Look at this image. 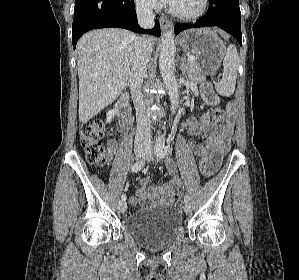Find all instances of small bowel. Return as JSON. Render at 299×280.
Instances as JSON below:
<instances>
[{
	"instance_id": "1",
	"label": "small bowel",
	"mask_w": 299,
	"mask_h": 280,
	"mask_svg": "<svg viewBox=\"0 0 299 280\" xmlns=\"http://www.w3.org/2000/svg\"><path fill=\"white\" fill-rule=\"evenodd\" d=\"M183 128L188 135L193 137L206 135L203 142L192 143L191 150L200 159L208 161L207 174L215 172L222 158L230 149L234 128L233 121L228 120L218 131V127L210 120L203 119L198 121L190 118L184 123ZM116 146V140H109L107 142L108 157L113 155ZM167 168L170 173V179L164 184L150 187L149 177H144L140 180V188L137 191V195L129 199V203L133 208H149L157 205L171 206L175 199L182 194L183 184L177 175L175 163L168 161Z\"/></svg>"
}]
</instances>
